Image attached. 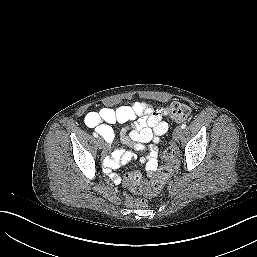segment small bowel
Here are the masks:
<instances>
[{
    "label": "small bowel",
    "instance_id": "1",
    "mask_svg": "<svg viewBox=\"0 0 257 257\" xmlns=\"http://www.w3.org/2000/svg\"><path fill=\"white\" fill-rule=\"evenodd\" d=\"M166 115L164 109H154L146 101H135L129 105L118 108L103 107L99 111H92L86 114L85 124L94 128L109 144L115 141L114 131L111 125L134 121L130 127L123 130L121 135L122 142L133 143L137 150H145L146 144L157 143L159 138L168 131V124L163 121ZM133 157L131 152L115 150L110 157L105 159L104 166L110 173V177L115 183L121 181L120 176L110 172ZM147 172L153 173L158 167V152L156 148L147 151L142 159ZM131 204L132 202L129 201Z\"/></svg>",
    "mask_w": 257,
    "mask_h": 257
}]
</instances>
